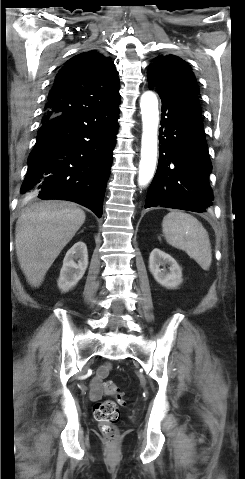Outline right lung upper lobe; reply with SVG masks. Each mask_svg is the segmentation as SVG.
Returning a JSON list of instances; mask_svg holds the SVG:
<instances>
[{
  "label": "right lung upper lobe",
  "instance_id": "1",
  "mask_svg": "<svg viewBox=\"0 0 245 479\" xmlns=\"http://www.w3.org/2000/svg\"><path fill=\"white\" fill-rule=\"evenodd\" d=\"M119 77L109 57L96 50L81 53L59 70L42 122L96 107L119 106Z\"/></svg>",
  "mask_w": 245,
  "mask_h": 479
}]
</instances>
